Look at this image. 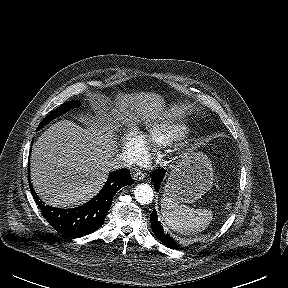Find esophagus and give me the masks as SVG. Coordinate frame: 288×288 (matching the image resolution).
<instances>
[{
	"label": "esophagus",
	"mask_w": 288,
	"mask_h": 288,
	"mask_svg": "<svg viewBox=\"0 0 288 288\" xmlns=\"http://www.w3.org/2000/svg\"><path fill=\"white\" fill-rule=\"evenodd\" d=\"M144 178H145V174L140 172V171L134 172V174H133V179L136 181H141Z\"/></svg>",
	"instance_id": "obj_1"
}]
</instances>
